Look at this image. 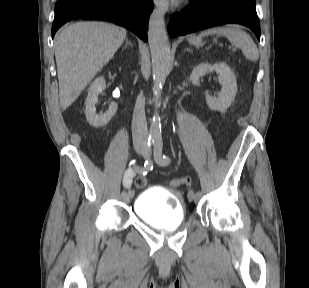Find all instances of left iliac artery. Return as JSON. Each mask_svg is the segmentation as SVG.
I'll list each match as a JSON object with an SVG mask.
<instances>
[{"mask_svg": "<svg viewBox=\"0 0 309 288\" xmlns=\"http://www.w3.org/2000/svg\"><path fill=\"white\" fill-rule=\"evenodd\" d=\"M163 141L161 137L155 138L154 140V157H155V161L157 164L159 165H168L170 163V158L163 154ZM194 195V192H193ZM194 196L197 197H201L202 196V192L201 191H197L196 194Z\"/></svg>", "mask_w": 309, "mask_h": 288, "instance_id": "left-iliac-artery-1", "label": "left iliac artery"}]
</instances>
